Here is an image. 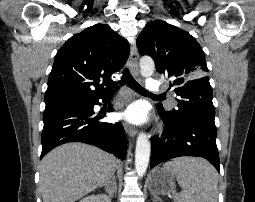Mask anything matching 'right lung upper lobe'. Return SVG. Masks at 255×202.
Returning <instances> with one entry per match:
<instances>
[{
	"label": "right lung upper lobe",
	"mask_w": 255,
	"mask_h": 202,
	"mask_svg": "<svg viewBox=\"0 0 255 202\" xmlns=\"http://www.w3.org/2000/svg\"><path fill=\"white\" fill-rule=\"evenodd\" d=\"M128 56V42L106 24L73 35L56 54L45 110L112 93L115 82L111 76L123 67Z\"/></svg>",
	"instance_id": "1"
}]
</instances>
